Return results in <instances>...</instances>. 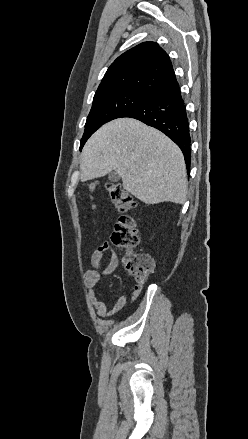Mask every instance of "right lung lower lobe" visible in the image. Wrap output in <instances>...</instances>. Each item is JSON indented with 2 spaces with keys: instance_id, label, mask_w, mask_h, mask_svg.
I'll use <instances>...</instances> for the list:
<instances>
[{
  "instance_id": "obj_1",
  "label": "right lung lower lobe",
  "mask_w": 248,
  "mask_h": 439,
  "mask_svg": "<svg viewBox=\"0 0 248 439\" xmlns=\"http://www.w3.org/2000/svg\"><path fill=\"white\" fill-rule=\"evenodd\" d=\"M121 117L140 120L162 131L173 140L183 152L189 174L191 161L189 125L177 81L150 95Z\"/></svg>"
}]
</instances>
